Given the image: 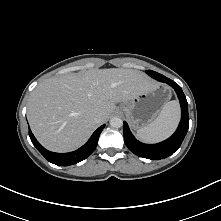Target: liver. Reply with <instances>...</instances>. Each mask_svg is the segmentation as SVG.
Returning <instances> with one entry per match:
<instances>
[{
  "label": "liver",
  "instance_id": "liver-1",
  "mask_svg": "<svg viewBox=\"0 0 221 221\" xmlns=\"http://www.w3.org/2000/svg\"><path fill=\"white\" fill-rule=\"evenodd\" d=\"M156 86L145 73L133 69H91L49 78L32 91L27 119L45 148L54 152L72 151L108 119L116 103ZM98 113L101 121L95 122Z\"/></svg>",
  "mask_w": 221,
  "mask_h": 221
}]
</instances>
